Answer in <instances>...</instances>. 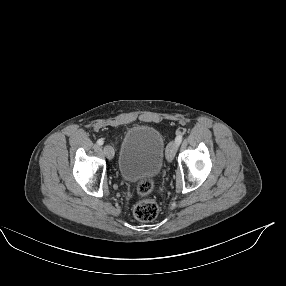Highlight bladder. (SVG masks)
Here are the masks:
<instances>
[{"label": "bladder", "mask_w": 286, "mask_h": 286, "mask_svg": "<svg viewBox=\"0 0 286 286\" xmlns=\"http://www.w3.org/2000/svg\"><path fill=\"white\" fill-rule=\"evenodd\" d=\"M165 140L155 127L136 125L129 128L120 144L117 166L128 182H141L159 176L165 155Z\"/></svg>", "instance_id": "31cf9c89"}]
</instances>
